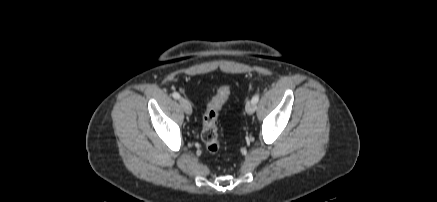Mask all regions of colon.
Masks as SVG:
<instances>
[{
  "label": "colon",
  "mask_w": 437,
  "mask_h": 202,
  "mask_svg": "<svg viewBox=\"0 0 437 202\" xmlns=\"http://www.w3.org/2000/svg\"><path fill=\"white\" fill-rule=\"evenodd\" d=\"M230 92L231 87L229 85L221 86L216 95L208 103L203 115L201 139L206 150L211 154L217 153L221 147L218 136V114L228 100Z\"/></svg>",
  "instance_id": "1"
}]
</instances>
